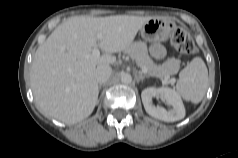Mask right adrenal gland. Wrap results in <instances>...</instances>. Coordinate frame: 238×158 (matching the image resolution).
I'll list each match as a JSON object with an SVG mask.
<instances>
[{
	"mask_svg": "<svg viewBox=\"0 0 238 158\" xmlns=\"http://www.w3.org/2000/svg\"><path fill=\"white\" fill-rule=\"evenodd\" d=\"M103 86H105V84H100V85H99V90H100Z\"/></svg>",
	"mask_w": 238,
	"mask_h": 158,
	"instance_id": "2a0ac1e0",
	"label": "right adrenal gland"
}]
</instances>
